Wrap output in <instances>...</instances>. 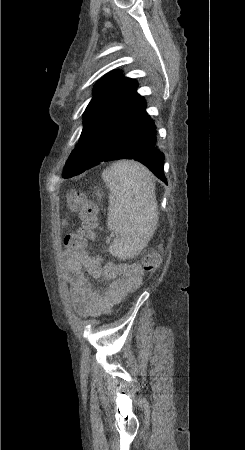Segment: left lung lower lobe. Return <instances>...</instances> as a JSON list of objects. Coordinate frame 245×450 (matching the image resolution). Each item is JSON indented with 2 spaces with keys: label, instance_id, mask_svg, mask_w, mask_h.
Here are the masks:
<instances>
[{
  "label": "left lung lower lobe",
  "instance_id": "left-lung-lower-lobe-1",
  "mask_svg": "<svg viewBox=\"0 0 245 450\" xmlns=\"http://www.w3.org/2000/svg\"><path fill=\"white\" fill-rule=\"evenodd\" d=\"M98 149V147L95 148V145H85L79 150V153L83 155L91 154L90 157L96 156L98 158L106 150L103 146L101 151L96 154ZM118 159H135L142 162L157 178L167 184L163 167L164 154L157 146V128L154 120L148 114L137 132L121 149L112 150L99 158V160H102L100 162Z\"/></svg>",
  "mask_w": 245,
  "mask_h": 450
}]
</instances>
